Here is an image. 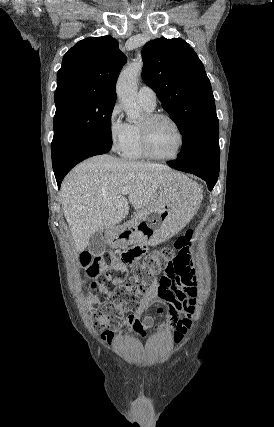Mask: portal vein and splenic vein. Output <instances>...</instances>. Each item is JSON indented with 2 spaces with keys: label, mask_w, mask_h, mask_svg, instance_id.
I'll use <instances>...</instances> for the list:
<instances>
[{
  "label": "portal vein and splenic vein",
  "mask_w": 274,
  "mask_h": 427,
  "mask_svg": "<svg viewBox=\"0 0 274 427\" xmlns=\"http://www.w3.org/2000/svg\"><path fill=\"white\" fill-rule=\"evenodd\" d=\"M121 194H122V196H127V194H129V188H124V190H122Z\"/></svg>",
  "instance_id": "obj_1"
}]
</instances>
